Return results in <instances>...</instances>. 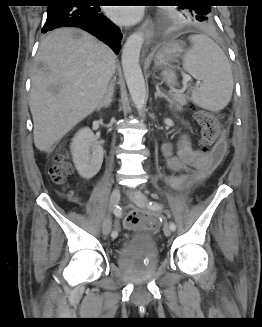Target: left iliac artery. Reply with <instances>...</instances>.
I'll list each match as a JSON object with an SVG mask.
<instances>
[{
    "label": "left iliac artery",
    "mask_w": 262,
    "mask_h": 327,
    "mask_svg": "<svg viewBox=\"0 0 262 327\" xmlns=\"http://www.w3.org/2000/svg\"><path fill=\"white\" fill-rule=\"evenodd\" d=\"M148 208H150L151 210H159L161 208V205L159 203H157L156 201H150L148 203ZM170 229L172 231L176 230V225L174 222L170 223Z\"/></svg>",
    "instance_id": "44dca946"
}]
</instances>
